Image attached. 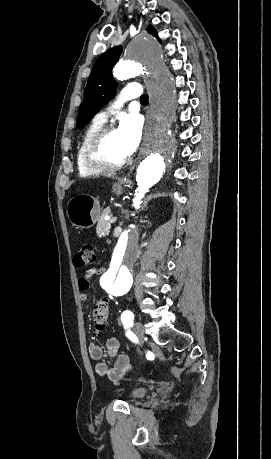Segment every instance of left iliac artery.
Masks as SVG:
<instances>
[{"label":"left iliac artery","instance_id":"1","mask_svg":"<svg viewBox=\"0 0 271 459\" xmlns=\"http://www.w3.org/2000/svg\"><path fill=\"white\" fill-rule=\"evenodd\" d=\"M133 320H134V314L131 311L126 310L121 314V321H122L124 327L126 328L124 330V333L126 335H129L131 333Z\"/></svg>","mask_w":271,"mask_h":459}]
</instances>
